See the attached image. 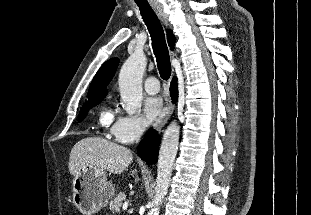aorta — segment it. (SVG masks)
I'll return each instance as SVG.
<instances>
[{"instance_id": "obj_1", "label": "aorta", "mask_w": 311, "mask_h": 215, "mask_svg": "<svg viewBox=\"0 0 311 215\" xmlns=\"http://www.w3.org/2000/svg\"><path fill=\"white\" fill-rule=\"evenodd\" d=\"M146 65L145 55L141 52H135L125 61L120 70L119 90L123 109L129 115H134L141 110L142 77ZM179 135L180 129L176 122H172L163 134L157 164L155 195L148 215H159L160 206L169 187L179 144Z\"/></svg>"}]
</instances>
